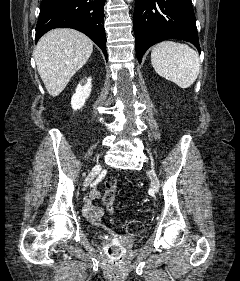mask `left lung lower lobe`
I'll list each match as a JSON object with an SVG mask.
<instances>
[{
  "label": "left lung lower lobe",
  "instance_id": "obj_1",
  "mask_svg": "<svg viewBox=\"0 0 240 281\" xmlns=\"http://www.w3.org/2000/svg\"><path fill=\"white\" fill-rule=\"evenodd\" d=\"M133 27L140 63L150 46L166 39L191 42L201 51L191 0H136Z\"/></svg>",
  "mask_w": 240,
  "mask_h": 281
}]
</instances>
